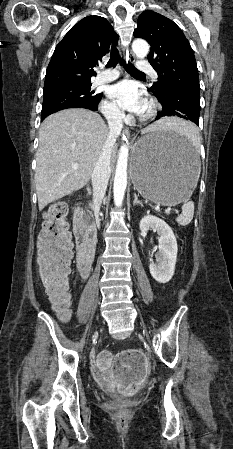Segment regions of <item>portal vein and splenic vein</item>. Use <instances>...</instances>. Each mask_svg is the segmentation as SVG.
<instances>
[{"mask_svg": "<svg viewBox=\"0 0 233 449\" xmlns=\"http://www.w3.org/2000/svg\"><path fill=\"white\" fill-rule=\"evenodd\" d=\"M73 168H74V169H77V168H78V165H77V164L73 165ZM156 209H159V208L157 207ZM171 211H172V208H171V207H168V208H166V209L164 210V212H165L166 214H169Z\"/></svg>", "mask_w": 233, "mask_h": 449, "instance_id": "portal-vein-and-splenic-vein-1", "label": "portal vein and splenic vein"}]
</instances>
